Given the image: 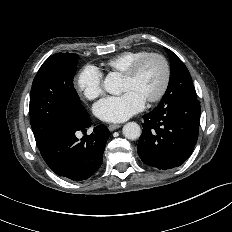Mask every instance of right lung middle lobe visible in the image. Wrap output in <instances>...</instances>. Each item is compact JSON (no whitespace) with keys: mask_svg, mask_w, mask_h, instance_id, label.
<instances>
[{"mask_svg":"<svg viewBox=\"0 0 232 232\" xmlns=\"http://www.w3.org/2000/svg\"><path fill=\"white\" fill-rule=\"evenodd\" d=\"M78 55L56 53L40 67L30 93V121L41 149L61 120H82L87 111L74 88Z\"/></svg>","mask_w":232,"mask_h":232,"instance_id":"right-lung-middle-lobe-1","label":"right lung middle lobe"}]
</instances>
